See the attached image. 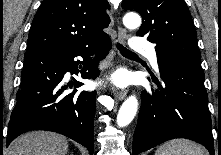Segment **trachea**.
Listing matches in <instances>:
<instances>
[{"mask_svg":"<svg viewBox=\"0 0 221 155\" xmlns=\"http://www.w3.org/2000/svg\"><path fill=\"white\" fill-rule=\"evenodd\" d=\"M117 48L119 49V51L121 52V54L123 56L132 57V58H136L137 57V55L135 53H133L132 51L128 50L127 48H125L124 46H122L119 43H117Z\"/></svg>","mask_w":221,"mask_h":155,"instance_id":"trachea-1","label":"trachea"}]
</instances>
